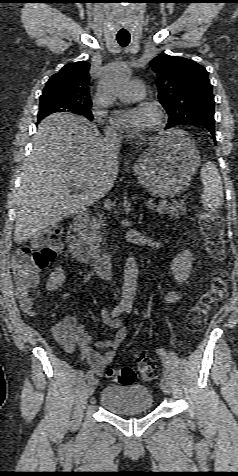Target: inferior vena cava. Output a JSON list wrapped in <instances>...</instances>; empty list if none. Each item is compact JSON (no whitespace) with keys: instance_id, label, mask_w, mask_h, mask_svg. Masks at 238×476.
Masks as SVG:
<instances>
[{"instance_id":"602c4592","label":"inferior vena cava","mask_w":238,"mask_h":476,"mask_svg":"<svg viewBox=\"0 0 238 476\" xmlns=\"http://www.w3.org/2000/svg\"><path fill=\"white\" fill-rule=\"evenodd\" d=\"M121 143V138L112 132H107L104 138V144L106 147V155L110 158L118 159L117 153Z\"/></svg>"}]
</instances>
